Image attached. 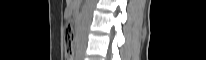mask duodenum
Returning <instances> with one entry per match:
<instances>
[{"label": "duodenum", "instance_id": "obj_1", "mask_svg": "<svg viewBox=\"0 0 206 60\" xmlns=\"http://www.w3.org/2000/svg\"><path fill=\"white\" fill-rule=\"evenodd\" d=\"M77 33H78V34H83V33H84V30H83V29H78V30H77Z\"/></svg>", "mask_w": 206, "mask_h": 60}]
</instances>
